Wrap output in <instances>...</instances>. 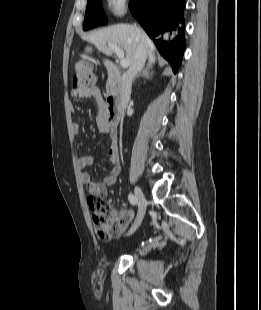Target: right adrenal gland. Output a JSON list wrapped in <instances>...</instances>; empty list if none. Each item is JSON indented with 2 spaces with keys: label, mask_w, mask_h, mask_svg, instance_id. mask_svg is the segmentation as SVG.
<instances>
[{
  "label": "right adrenal gland",
  "mask_w": 261,
  "mask_h": 310,
  "mask_svg": "<svg viewBox=\"0 0 261 310\" xmlns=\"http://www.w3.org/2000/svg\"><path fill=\"white\" fill-rule=\"evenodd\" d=\"M138 77H144V78L151 79L153 77L152 65L150 63H148L142 69V71L135 77V79L138 78Z\"/></svg>",
  "instance_id": "right-adrenal-gland-1"
}]
</instances>
